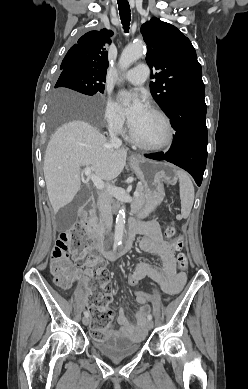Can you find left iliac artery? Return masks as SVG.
Listing matches in <instances>:
<instances>
[{"mask_svg":"<svg viewBox=\"0 0 248 389\" xmlns=\"http://www.w3.org/2000/svg\"><path fill=\"white\" fill-rule=\"evenodd\" d=\"M151 319H152V315L149 314V315H148V320H151Z\"/></svg>","mask_w":248,"mask_h":389,"instance_id":"left-iliac-artery-1","label":"left iliac artery"}]
</instances>
